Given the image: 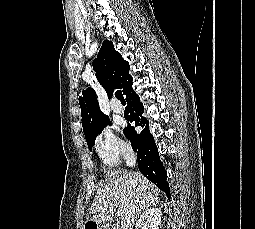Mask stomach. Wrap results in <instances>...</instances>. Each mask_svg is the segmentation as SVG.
Returning <instances> with one entry per match:
<instances>
[{
	"label": "stomach",
	"mask_w": 255,
	"mask_h": 229,
	"mask_svg": "<svg viewBox=\"0 0 255 229\" xmlns=\"http://www.w3.org/2000/svg\"><path fill=\"white\" fill-rule=\"evenodd\" d=\"M90 222H93L92 224L95 226V229H102V227L99 224H97L96 222H94V221H90Z\"/></svg>",
	"instance_id": "0dacf381"
}]
</instances>
